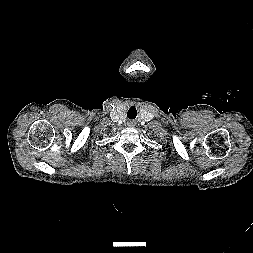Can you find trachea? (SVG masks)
Here are the masks:
<instances>
[{
    "mask_svg": "<svg viewBox=\"0 0 253 253\" xmlns=\"http://www.w3.org/2000/svg\"><path fill=\"white\" fill-rule=\"evenodd\" d=\"M136 116H137V110H136V108L133 106V107H131V108L128 110V112H127V117H128L129 119H135Z\"/></svg>",
    "mask_w": 253,
    "mask_h": 253,
    "instance_id": "trachea-1",
    "label": "trachea"
}]
</instances>
